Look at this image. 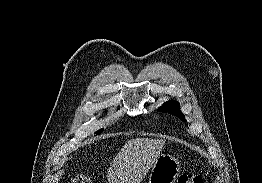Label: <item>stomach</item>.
<instances>
[{"label": "stomach", "mask_w": 262, "mask_h": 183, "mask_svg": "<svg viewBox=\"0 0 262 183\" xmlns=\"http://www.w3.org/2000/svg\"><path fill=\"white\" fill-rule=\"evenodd\" d=\"M180 171V162L175 157L161 154L151 167L148 183H175Z\"/></svg>", "instance_id": "1"}]
</instances>
